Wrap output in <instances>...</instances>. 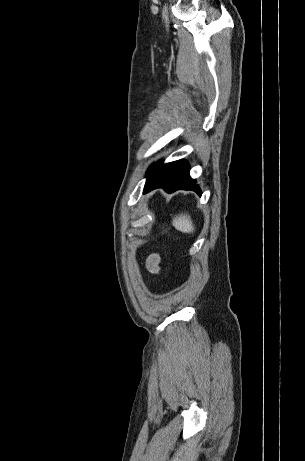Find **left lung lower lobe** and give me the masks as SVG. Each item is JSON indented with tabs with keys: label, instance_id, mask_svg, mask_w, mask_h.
Instances as JSON below:
<instances>
[{
	"label": "left lung lower lobe",
	"instance_id": "obj_1",
	"mask_svg": "<svg viewBox=\"0 0 305 461\" xmlns=\"http://www.w3.org/2000/svg\"><path fill=\"white\" fill-rule=\"evenodd\" d=\"M194 181L189 176V166L186 161L179 160L168 164L158 163L152 165L147 174L144 193L155 188H163L168 193L183 189L193 190L201 195V190L198 185L194 184Z\"/></svg>",
	"mask_w": 305,
	"mask_h": 461
}]
</instances>
